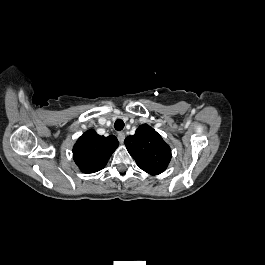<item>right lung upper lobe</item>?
I'll return each mask as SVG.
<instances>
[{
  "mask_svg": "<svg viewBox=\"0 0 265 265\" xmlns=\"http://www.w3.org/2000/svg\"><path fill=\"white\" fill-rule=\"evenodd\" d=\"M119 142L113 135L104 137L88 130L73 147V158L84 173H94L105 167Z\"/></svg>",
  "mask_w": 265,
  "mask_h": 265,
  "instance_id": "1",
  "label": "right lung upper lobe"
}]
</instances>
